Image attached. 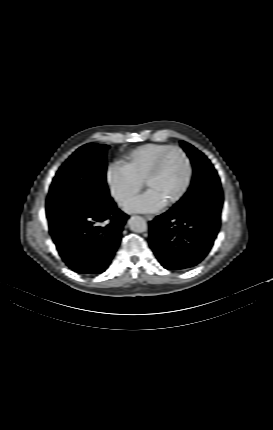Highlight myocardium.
<instances>
[{
    "instance_id": "obj_1",
    "label": "myocardium",
    "mask_w": 273,
    "mask_h": 430,
    "mask_svg": "<svg viewBox=\"0 0 273 430\" xmlns=\"http://www.w3.org/2000/svg\"><path fill=\"white\" fill-rule=\"evenodd\" d=\"M171 152H178L183 157V159L186 163V167H187V177H186V181H185L182 189L178 192V194L176 196H174L169 202H167L165 204V207L174 206L185 196V194L187 193V191L189 190V188L191 186V182H192V178H193L192 164H191V161H190L188 155L186 154V152L178 146H170L168 149H166L164 152H162L161 155L156 160L154 166L152 167L151 171L148 173L147 177L144 180L145 186L147 187L149 182L151 180H153L154 178H156L160 174V172L163 168L165 159Z\"/></svg>"
}]
</instances>
